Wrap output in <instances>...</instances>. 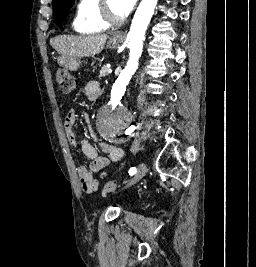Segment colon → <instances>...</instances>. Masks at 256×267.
<instances>
[{
  "mask_svg": "<svg viewBox=\"0 0 256 267\" xmlns=\"http://www.w3.org/2000/svg\"><path fill=\"white\" fill-rule=\"evenodd\" d=\"M57 82L60 90L65 93H70L77 85L76 78L72 73H68L66 69L57 72ZM119 188L120 185L117 181H110L102 186L101 192L102 194H108L119 190Z\"/></svg>",
  "mask_w": 256,
  "mask_h": 267,
  "instance_id": "colon-1",
  "label": "colon"
}]
</instances>
